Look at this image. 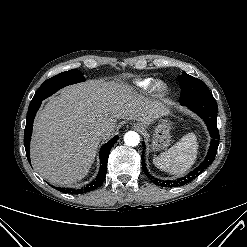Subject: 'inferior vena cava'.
<instances>
[{
    "label": "inferior vena cava",
    "instance_id": "602c4592",
    "mask_svg": "<svg viewBox=\"0 0 247 247\" xmlns=\"http://www.w3.org/2000/svg\"><path fill=\"white\" fill-rule=\"evenodd\" d=\"M108 131V129L103 126V125H99L94 129V132L97 136L102 137L106 134V132Z\"/></svg>",
    "mask_w": 247,
    "mask_h": 247
}]
</instances>
